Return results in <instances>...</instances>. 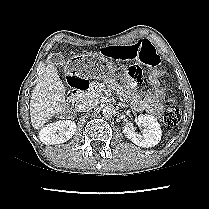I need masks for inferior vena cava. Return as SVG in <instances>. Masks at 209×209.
<instances>
[{"mask_svg":"<svg viewBox=\"0 0 209 209\" xmlns=\"http://www.w3.org/2000/svg\"><path fill=\"white\" fill-rule=\"evenodd\" d=\"M96 105L97 102L93 98H84L80 101L79 110L84 112L91 111L96 107Z\"/></svg>","mask_w":209,"mask_h":209,"instance_id":"602c4592","label":"inferior vena cava"}]
</instances>
